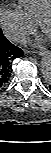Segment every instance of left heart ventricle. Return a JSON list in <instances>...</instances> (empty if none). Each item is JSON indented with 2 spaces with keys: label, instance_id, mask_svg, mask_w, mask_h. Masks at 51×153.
Instances as JSON below:
<instances>
[{
  "label": "left heart ventricle",
  "instance_id": "1",
  "mask_svg": "<svg viewBox=\"0 0 51 153\" xmlns=\"http://www.w3.org/2000/svg\"><path fill=\"white\" fill-rule=\"evenodd\" d=\"M44 31L51 35V21H46L44 24Z\"/></svg>",
  "mask_w": 51,
  "mask_h": 153
}]
</instances>
